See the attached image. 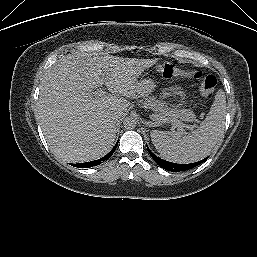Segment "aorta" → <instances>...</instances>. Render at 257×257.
<instances>
[{
  "mask_svg": "<svg viewBox=\"0 0 257 257\" xmlns=\"http://www.w3.org/2000/svg\"><path fill=\"white\" fill-rule=\"evenodd\" d=\"M123 125L126 129H134L137 125V119L132 116L126 117L123 121Z\"/></svg>",
  "mask_w": 257,
  "mask_h": 257,
  "instance_id": "762f6f07",
  "label": "aorta"
}]
</instances>
